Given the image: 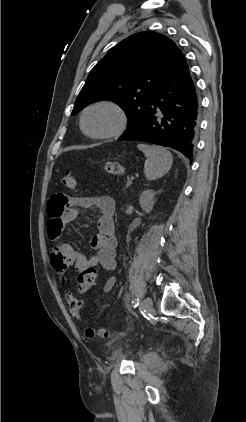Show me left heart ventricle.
<instances>
[{
    "mask_svg": "<svg viewBox=\"0 0 246 422\" xmlns=\"http://www.w3.org/2000/svg\"><path fill=\"white\" fill-rule=\"evenodd\" d=\"M117 122L113 110L107 107H98L90 110L85 117V127L91 133H103L111 130Z\"/></svg>",
    "mask_w": 246,
    "mask_h": 422,
    "instance_id": "1",
    "label": "left heart ventricle"
}]
</instances>
